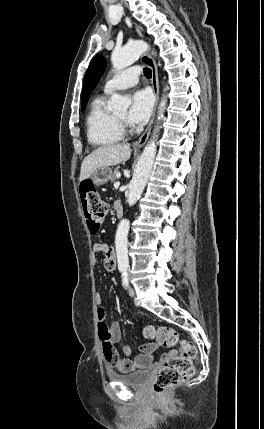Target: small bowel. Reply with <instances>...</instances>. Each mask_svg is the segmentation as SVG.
Wrapping results in <instances>:
<instances>
[{
    "mask_svg": "<svg viewBox=\"0 0 264 429\" xmlns=\"http://www.w3.org/2000/svg\"><path fill=\"white\" fill-rule=\"evenodd\" d=\"M119 202H116L118 204ZM104 253V268L107 271H113L115 268V252L114 249L106 243H96L93 246V254ZM99 324H98V333L102 341L103 352L104 345L107 341L113 343L117 342L121 338V329L120 325L117 322L107 323L106 322V312L104 308H98ZM156 349L154 344H144L141 346V353L137 355L133 360L128 358L116 357L112 362H109L113 368L121 373H128L136 369H145L148 368L153 360V353ZM105 355V353H104Z\"/></svg>",
    "mask_w": 264,
    "mask_h": 429,
    "instance_id": "small-bowel-1",
    "label": "small bowel"
}]
</instances>
